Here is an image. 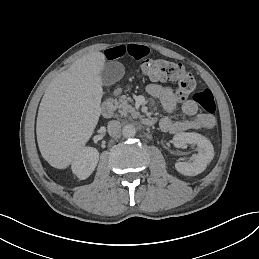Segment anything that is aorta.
Listing matches in <instances>:
<instances>
[{"label": "aorta", "instance_id": "1", "mask_svg": "<svg viewBox=\"0 0 259 259\" xmlns=\"http://www.w3.org/2000/svg\"><path fill=\"white\" fill-rule=\"evenodd\" d=\"M122 134L125 138H132L136 135V129L131 124H126L122 129Z\"/></svg>", "mask_w": 259, "mask_h": 259}]
</instances>
